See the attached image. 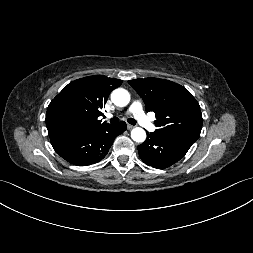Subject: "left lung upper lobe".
Listing matches in <instances>:
<instances>
[{
	"label": "left lung upper lobe",
	"mask_w": 253,
	"mask_h": 253,
	"mask_svg": "<svg viewBox=\"0 0 253 253\" xmlns=\"http://www.w3.org/2000/svg\"><path fill=\"white\" fill-rule=\"evenodd\" d=\"M157 120L155 134L193 144L200 136L202 114L200 106L183 86L158 78L129 80Z\"/></svg>",
	"instance_id": "obj_1"
}]
</instances>
